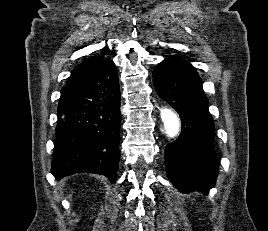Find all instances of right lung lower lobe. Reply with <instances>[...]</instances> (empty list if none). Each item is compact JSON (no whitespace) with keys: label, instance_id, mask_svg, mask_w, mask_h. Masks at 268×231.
<instances>
[{"label":"right lung lower lobe","instance_id":"98d812e1","mask_svg":"<svg viewBox=\"0 0 268 231\" xmlns=\"http://www.w3.org/2000/svg\"><path fill=\"white\" fill-rule=\"evenodd\" d=\"M120 103L118 74L111 60L62 90L51 169L57 180L90 172L116 181Z\"/></svg>","mask_w":268,"mask_h":231}]
</instances>
